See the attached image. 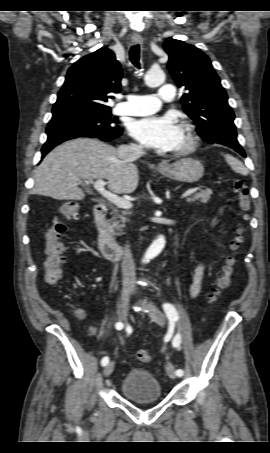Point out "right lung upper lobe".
I'll list each match as a JSON object with an SVG mask.
<instances>
[{
	"label": "right lung upper lobe",
	"instance_id": "cb5924a9",
	"mask_svg": "<svg viewBox=\"0 0 270 453\" xmlns=\"http://www.w3.org/2000/svg\"><path fill=\"white\" fill-rule=\"evenodd\" d=\"M122 69L114 53L102 47L79 59L68 70L53 106V117L110 110L111 93L121 89Z\"/></svg>",
	"mask_w": 270,
	"mask_h": 453
}]
</instances>
